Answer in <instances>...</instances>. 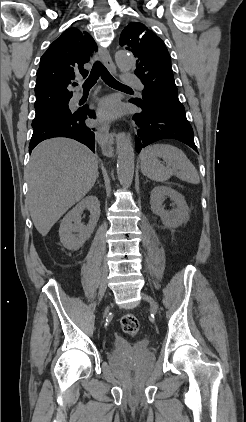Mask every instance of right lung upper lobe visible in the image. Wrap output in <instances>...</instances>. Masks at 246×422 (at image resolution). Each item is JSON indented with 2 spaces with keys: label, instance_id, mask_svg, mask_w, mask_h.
Masks as SVG:
<instances>
[{
  "label": "right lung upper lobe",
  "instance_id": "cb5924a9",
  "mask_svg": "<svg viewBox=\"0 0 246 422\" xmlns=\"http://www.w3.org/2000/svg\"><path fill=\"white\" fill-rule=\"evenodd\" d=\"M96 50L93 38L76 28L65 30L49 46L40 59L35 86V110L56 103L69 101L72 97L67 87L76 76L86 77L88 71L83 65Z\"/></svg>",
  "mask_w": 246,
  "mask_h": 422
}]
</instances>
